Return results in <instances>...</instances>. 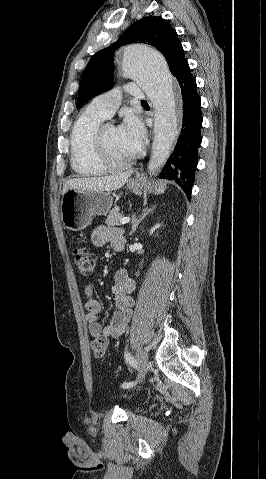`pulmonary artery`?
Returning a JSON list of instances; mask_svg holds the SVG:
<instances>
[{"label": "pulmonary artery", "instance_id": "pulmonary-artery-1", "mask_svg": "<svg viewBox=\"0 0 266 479\" xmlns=\"http://www.w3.org/2000/svg\"><path fill=\"white\" fill-rule=\"evenodd\" d=\"M127 90L133 98L147 99V93L137 84L128 83ZM121 103V90L115 88L94 98L88 109L102 117L110 118Z\"/></svg>", "mask_w": 266, "mask_h": 479}]
</instances>
